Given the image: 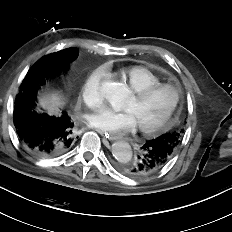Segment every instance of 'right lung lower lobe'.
<instances>
[{"label": "right lung lower lobe", "mask_w": 232, "mask_h": 232, "mask_svg": "<svg viewBox=\"0 0 232 232\" xmlns=\"http://www.w3.org/2000/svg\"><path fill=\"white\" fill-rule=\"evenodd\" d=\"M36 93L34 87H26L17 95L13 112L16 133L21 145L31 154L56 157L72 146L74 123L65 111L49 116L35 110Z\"/></svg>", "instance_id": "right-lung-lower-lobe-1"}]
</instances>
